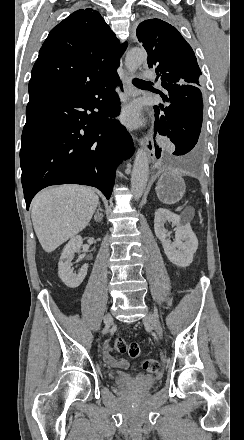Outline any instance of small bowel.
Returning <instances> with one entry per match:
<instances>
[{
  "mask_svg": "<svg viewBox=\"0 0 244 440\" xmlns=\"http://www.w3.org/2000/svg\"><path fill=\"white\" fill-rule=\"evenodd\" d=\"M104 359H105V361H106L109 365H111V366H113V367H116V368H118V369H121V370H127V369L130 368L129 363H128L126 360H121V361L118 362V361L112 356V354H111V352H110L109 350H107V351L104 353Z\"/></svg>",
  "mask_w": 244,
  "mask_h": 440,
  "instance_id": "1",
  "label": "small bowel"
}]
</instances>
